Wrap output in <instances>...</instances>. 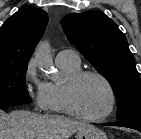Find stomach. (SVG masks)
I'll list each match as a JSON object with an SVG mask.
<instances>
[{"label":"stomach","instance_id":"0dacf381","mask_svg":"<svg viewBox=\"0 0 141 139\" xmlns=\"http://www.w3.org/2000/svg\"><path fill=\"white\" fill-rule=\"evenodd\" d=\"M76 139H108V138L102 130L92 125H89L80 129L77 132Z\"/></svg>","mask_w":141,"mask_h":139}]
</instances>
